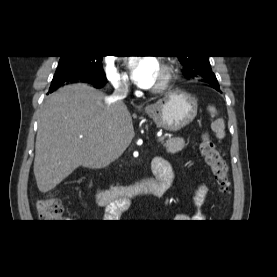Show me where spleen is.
<instances>
[{
	"label": "spleen",
	"instance_id": "1",
	"mask_svg": "<svg viewBox=\"0 0 277 277\" xmlns=\"http://www.w3.org/2000/svg\"><path fill=\"white\" fill-rule=\"evenodd\" d=\"M208 111L211 117L217 115V110L214 106H208ZM211 129L215 132L216 137L219 139H223L225 137V123L222 118H218L211 124Z\"/></svg>",
	"mask_w": 277,
	"mask_h": 277
}]
</instances>
